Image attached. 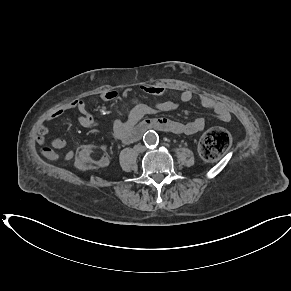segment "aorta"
<instances>
[{
	"label": "aorta",
	"mask_w": 291,
	"mask_h": 291,
	"mask_svg": "<svg viewBox=\"0 0 291 291\" xmlns=\"http://www.w3.org/2000/svg\"><path fill=\"white\" fill-rule=\"evenodd\" d=\"M158 141L157 134L154 131H149L144 135V143L146 146H154Z\"/></svg>",
	"instance_id": "1"
}]
</instances>
